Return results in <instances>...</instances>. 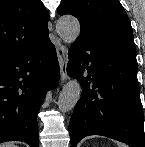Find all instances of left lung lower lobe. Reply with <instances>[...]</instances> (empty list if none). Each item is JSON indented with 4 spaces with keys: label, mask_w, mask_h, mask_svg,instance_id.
Segmentation results:
<instances>
[{
    "label": "left lung lower lobe",
    "mask_w": 145,
    "mask_h": 147,
    "mask_svg": "<svg viewBox=\"0 0 145 147\" xmlns=\"http://www.w3.org/2000/svg\"><path fill=\"white\" fill-rule=\"evenodd\" d=\"M85 71L87 77L83 76ZM67 73L82 87L69 123L72 147L90 135L144 147V115L133 42L80 35L69 50Z\"/></svg>",
    "instance_id": "1"
}]
</instances>
